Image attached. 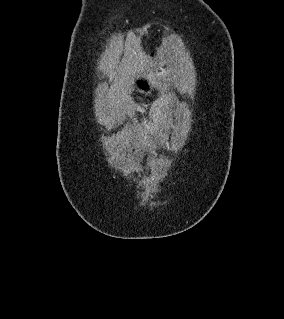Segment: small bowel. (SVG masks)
Segmentation results:
<instances>
[{
    "label": "small bowel",
    "mask_w": 284,
    "mask_h": 319,
    "mask_svg": "<svg viewBox=\"0 0 284 319\" xmlns=\"http://www.w3.org/2000/svg\"><path fill=\"white\" fill-rule=\"evenodd\" d=\"M164 103L163 101L157 102L151 109V118L153 121V124H146L145 125V135L147 138H150L154 135L156 132L155 126L161 129V134L159 136L163 135L168 130V122L167 118L164 114Z\"/></svg>",
    "instance_id": "c3829d8e"
}]
</instances>
